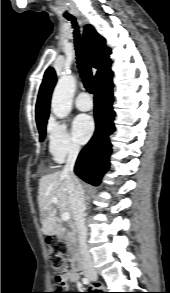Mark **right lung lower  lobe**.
Instances as JSON below:
<instances>
[{"label":"right lung lower lobe","mask_w":170,"mask_h":293,"mask_svg":"<svg viewBox=\"0 0 170 293\" xmlns=\"http://www.w3.org/2000/svg\"><path fill=\"white\" fill-rule=\"evenodd\" d=\"M112 76H107L96 85L94 109L96 130L90 142L80 152L75 165L76 175L95 186L101 182L103 174L109 168L111 154L109 135L115 131Z\"/></svg>","instance_id":"98d812e1"}]
</instances>
